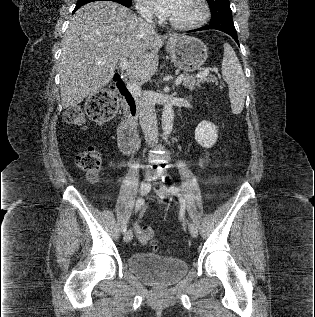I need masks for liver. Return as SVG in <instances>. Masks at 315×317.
Instances as JSON below:
<instances>
[{
    "label": "liver",
    "instance_id": "obj_1",
    "mask_svg": "<svg viewBox=\"0 0 315 317\" xmlns=\"http://www.w3.org/2000/svg\"><path fill=\"white\" fill-rule=\"evenodd\" d=\"M164 39L133 11L115 2L96 1L70 19L61 41L60 91L63 108L76 106L111 81L116 64L128 59L132 81L150 79Z\"/></svg>",
    "mask_w": 315,
    "mask_h": 317
}]
</instances>
